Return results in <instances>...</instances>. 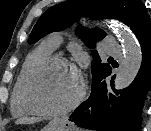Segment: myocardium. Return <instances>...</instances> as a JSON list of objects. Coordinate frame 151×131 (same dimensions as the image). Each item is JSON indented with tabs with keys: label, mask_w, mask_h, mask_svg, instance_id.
<instances>
[{
	"label": "myocardium",
	"mask_w": 151,
	"mask_h": 131,
	"mask_svg": "<svg viewBox=\"0 0 151 131\" xmlns=\"http://www.w3.org/2000/svg\"><path fill=\"white\" fill-rule=\"evenodd\" d=\"M54 64H61L69 67L78 79V88L74 97L66 105L58 109L46 110L34 104L30 95V86L32 78L38 71ZM85 90L84 78L79 69L71 61L59 55H49L39 59L28 69L23 81L21 100L24 108L31 114L42 117H56L67 114L78 107L84 98Z\"/></svg>",
	"instance_id": "1"
}]
</instances>
